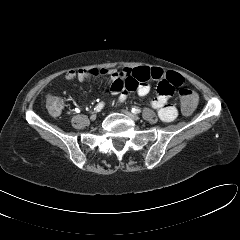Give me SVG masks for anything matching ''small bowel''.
I'll return each instance as SVG.
<instances>
[{
  "label": "small bowel",
  "instance_id": "1",
  "mask_svg": "<svg viewBox=\"0 0 240 240\" xmlns=\"http://www.w3.org/2000/svg\"><path fill=\"white\" fill-rule=\"evenodd\" d=\"M96 76H107L109 90L113 94H118L119 103L127 99L129 92H136L139 97H145L150 92L148 81H158L157 96L151 101V106L157 110L159 118L163 122L173 121L177 115L174 105L168 103V99L173 91L184 83L183 77L173 71H165L157 67H139L125 69L118 72L108 68L70 70L65 74L67 81L78 80L88 82Z\"/></svg>",
  "mask_w": 240,
  "mask_h": 240
}]
</instances>
